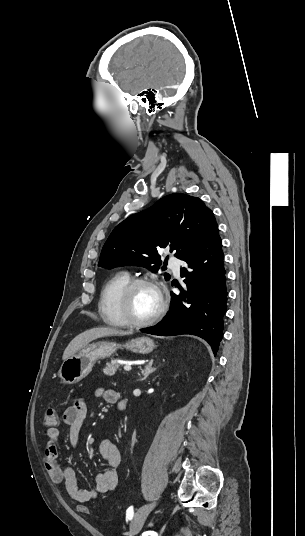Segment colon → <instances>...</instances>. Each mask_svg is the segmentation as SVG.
Instances as JSON below:
<instances>
[{"instance_id": "obj_1", "label": "colon", "mask_w": 305, "mask_h": 536, "mask_svg": "<svg viewBox=\"0 0 305 536\" xmlns=\"http://www.w3.org/2000/svg\"><path fill=\"white\" fill-rule=\"evenodd\" d=\"M43 424L46 427H53L57 424V412L55 408L49 407L43 417ZM88 504L81 502L77 505V510L81 513L88 511Z\"/></svg>"}]
</instances>
